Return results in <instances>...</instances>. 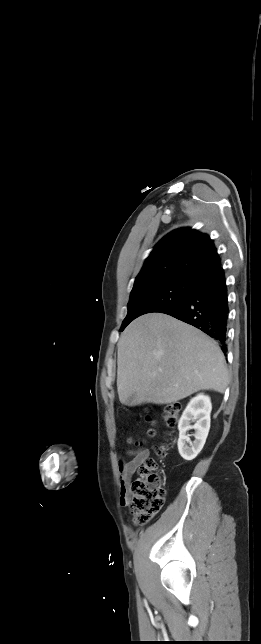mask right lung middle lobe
I'll use <instances>...</instances> for the list:
<instances>
[{"instance_id": "right-lung-middle-lobe-1", "label": "right lung middle lobe", "mask_w": 261, "mask_h": 644, "mask_svg": "<svg viewBox=\"0 0 261 644\" xmlns=\"http://www.w3.org/2000/svg\"><path fill=\"white\" fill-rule=\"evenodd\" d=\"M194 281L167 278L133 287L128 303V314L121 330L135 318L152 312H161L180 303L191 291Z\"/></svg>"}]
</instances>
